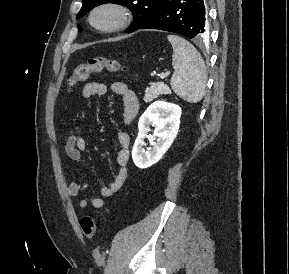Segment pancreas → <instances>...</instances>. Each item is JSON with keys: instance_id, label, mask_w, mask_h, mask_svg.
Listing matches in <instances>:
<instances>
[{"instance_id": "cf45deb5", "label": "pancreas", "mask_w": 289, "mask_h": 274, "mask_svg": "<svg viewBox=\"0 0 289 274\" xmlns=\"http://www.w3.org/2000/svg\"><path fill=\"white\" fill-rule=\"evenodd\" d=\"M163 94H171L170 88L162 82L153 83L150 87L146 88L143 100L146 103L151 102L153 99Z\"/></svg>"}]
</instances>
